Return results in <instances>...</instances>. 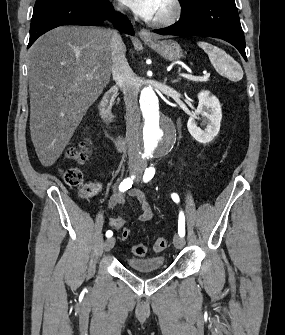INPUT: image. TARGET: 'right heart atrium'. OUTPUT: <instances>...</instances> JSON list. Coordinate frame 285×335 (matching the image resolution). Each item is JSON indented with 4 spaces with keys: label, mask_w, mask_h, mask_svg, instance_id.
<instances>
[{
    "label": "right heart atrium",
    "mask_w": 285,
    "mask_h": 335,
    "mask_svg": "<svg viewBox=\"0 0 285 335\" xmlns=\"http://www.w3.org/2000/svg\"><path fill=\"white\" fill-rule=\"evenodd\" d=\"M112 8L114 12L119 16H123L126 14V9L121 3H114L112 5Z\"/></svg>",
    "instance_id": "d8ad5b80"
}]
</instances>
